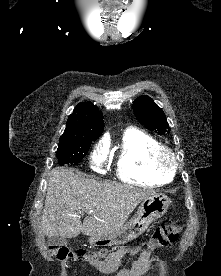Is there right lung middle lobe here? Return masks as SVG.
<instances>
[{"instance_id":"dd1d6c3e","label":"right lung middle lobe","mask_w":221,"mask_h":276,"mask_svg":"<svg viewBox=\"0 0 221 276\" xmlns=\"http://www.w3.org/2000/svg\"><path fill=\"white\" fill-rule=\"evenodd\" d=\"M92 140L59 141L56 157L59 165L77 164L91 146Z\"/></svg>"}]
</instances>
